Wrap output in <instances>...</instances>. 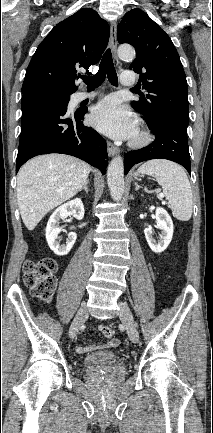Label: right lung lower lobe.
<instances>
[{
    "label": "right lung lower lobe",
    "instance_id": "obj_1",
    "mask_svg": "<svg viewBox=\"0 0 213 433\" xmlns=\"http://www.w3.org/2000/svg\"><path fill=\"white\" fill-rule=\"evenodd\" d=\"M21 136L16 172L28 159L48 153L78 157L105 174L108 164L106 141L95 130L83 125L87 110L67 113V105L50 98L22 96Z\"/></svg>",
    "mask_w": 213,
    "mask_h": 433
}]
</instances>
